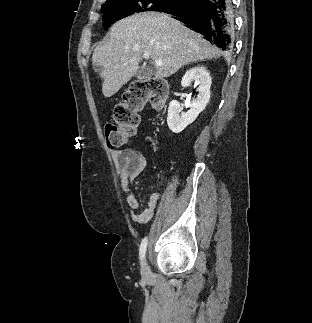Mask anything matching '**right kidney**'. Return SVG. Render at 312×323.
Segmentation results:
<instances>
[{
	"instance_id": "right-kidney-1",
	"label": "right kidney",
	"mask_w": 312,
	"mask_h": 323,
	"mask_svg": "<svg viewBox=\"0 0 312 323\" xmlns=\"http://www.w3.org/2000/svg\"><path fill=\"white\" fill-rule=\"evenodd\" d=\"M192 82H194L195 86H198L196 90L198 94L188 112H182V108H180L177 100H172L169 104L167 124L174 134H179L186 126L192 124L198 114L203 112L210 100V86L212 82L207 68H204V66H194L191 70H187L181 80V86L188 88Z\"/></svg>"
}]
</instances>
